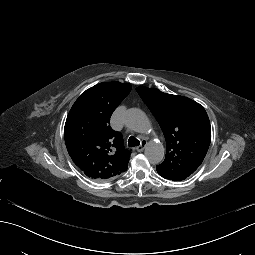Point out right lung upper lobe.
I'll return each mask as SVG.
<instances>
[{
	"label": "right lung upper lobe",
	"instance_id": "1",
	"mask_svg": "<svg viewBox=\"0 0 255 255\" xmlns=\"http://www.w3.org/2000/svg\"><path fill=\"white\" fill-rule=\"evenodd\" d=\"M130 91L127 83L97 84L75 101L67 116L64 138L68 153L91 179H112L128 168L130 151L124 148L121 134L109 122Z\"/></svg>",
	"mask_w": 255,
	"mask_h": 255
}]
</instances>
